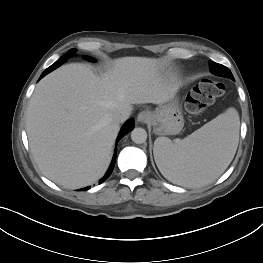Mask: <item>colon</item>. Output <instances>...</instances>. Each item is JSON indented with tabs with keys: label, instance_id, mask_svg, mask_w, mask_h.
I'll return each instance as SVG.
<instances>
[{
	"label": "colon",
	"instance_id": "5ec220e1",
	"mask_svg": "<svg viewBox=\"0 0 263 263\" xmlns=\"http://www.w3.org/2000/svg\"><path fill=\"white\" fill-rule=\"evenodd\" d=\"M225 92L222 83L205 79L200 81L188 94L185 107L191 114H200L211 106Z\"/></svg>",
	"mask_w": 263,
	"mask_h": 263
}]
</instances>
